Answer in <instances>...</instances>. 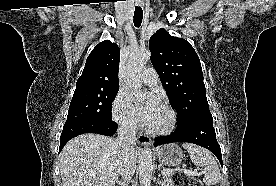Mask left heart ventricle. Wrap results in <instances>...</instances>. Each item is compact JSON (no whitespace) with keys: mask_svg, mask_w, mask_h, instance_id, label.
Instances as JSON below:
<instances>
[{"mask_svg":"<svg viewBox=\"0 0 276 186\" xmlns=\"http://www.w3.org/2000/svg\"><path fill=\"white\" fill-rule=\"evenodd\" d=\"M170 121V116L167 110L162 107L161 105L159 106L157 112L155 113V116L149 126L151 129H160L164 128L169 124Z\"/></svg>","mask_w":276,"mask_h":186,"instance_id":"obj_1","label":"left heart ventricle"}]
</instances>
